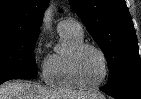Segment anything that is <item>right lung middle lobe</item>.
<instances>
[{"mask_svg":"<svg viewBox=\"0 0 141 99\" xmlns=\"http://www.w3.org/2000/svg\"><path fill=\"white\" fill-rule=\"evenodd\" d=\"M38 35L14 30L0 32V79L16 75H37L32 53Z\"/></svg>","mask_w":141,"mask_h":99,"instance_id":"obj_1","label":"right lung middle lobe"}]
</instances>
